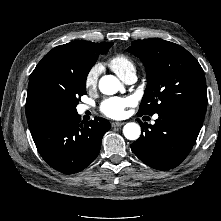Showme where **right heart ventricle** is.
Masks as SVG:
<instances>
[{
	"label": "right heart ventricle",
	"mask_w": 221,
	"mask_h": 221,
	"mask_svg": "<svg viewBox=\"0 0 221 221\" xmlns=\"http://www.w3.org/2000/svg\"><path fill=\"white\" fill-rule=\"evenodd\" d=\"M109 67L122 79L128 72L135 70L133 61L126 55L118 54L109 60Z\"/></svg>",
	"instance_id": "right-heart-ventricle-1"
}]
</instances>
